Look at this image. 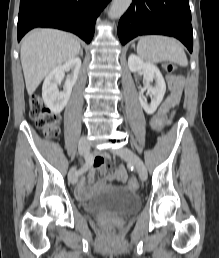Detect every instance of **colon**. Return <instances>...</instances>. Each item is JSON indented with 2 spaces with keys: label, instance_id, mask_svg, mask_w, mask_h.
I'll return each mask as SVG.
<instances>
[{
  "label": "colon",
  "instance_id": "5ec220e1",
  "mask_svg": "<svg viewBox=\"0 0 219 258\" xmlns=\"http://www.w3.org/2000/svg\"><path fill=\"white\" fill-rule=\"evenodd\" d=\"M164 68L167 72H173L176 69V65L173 63H166ZM30 116L37 127L40 128L47 137H55L58 135L61 119L58 115L50 111L39 96L32 97L30 101ZM166 116L167 110L163 108H160L153 116L151 120V128L154 133L159 134L162 132ZM128 185L133 190H137L139 188L138 181L135 178H131L128 181Z\"/></svg>",
  "mask_w": 219,
  "mask_h": 258
}]
</instances>
